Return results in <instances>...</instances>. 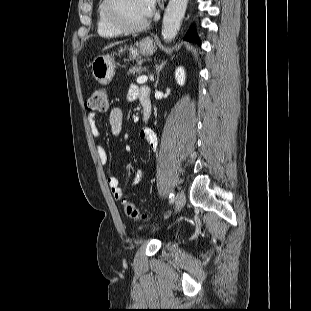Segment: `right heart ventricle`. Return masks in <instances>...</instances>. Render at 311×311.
I'll list each match as a JSON object with an SVG mask.
<instances>
[{"label": "right heart ventricle", "mask_w": 311, "mask_h": 311, "mask_svg": "<svg viewBox=\"0 0 311 311\" xmlns=\"http://www.w3.org/2000/svg\"><path fill=\"white\" fill-rule=\"evenodd\" d=\"M105 0H99L96 9V31L103 37H115L121 34L118 30L112 27L106 20L104 15Z\"/></svg>", "instance_id": "obj_1"}]
</instances>
